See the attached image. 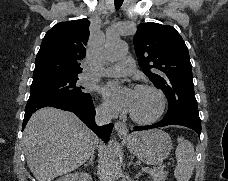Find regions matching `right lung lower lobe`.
<instances>
[{
    "instance_id": "98d812e1",
    "label": "right lung lower lobe",
    "mask_w": 228,
    "mask_h": 181,
    "mask_svg": "<svg viewBox=\"0 0 228 181\" xmlns=\"http://www.w3.org/2000/svg\"><path fill=\"white\" fill-rule=\"evenodd\" d=\"M55 107L58 109L74 112L90 129H92L101 139L107 142L110 138L113 124L97 126L95 123V109L93 102L78 103L56 97H42L29 99L25 108L23 128L29 117L36 110L43 107Z\"/></svg>"
}]
</instances>
